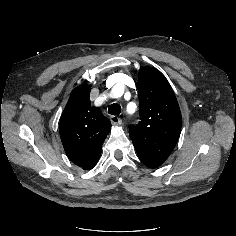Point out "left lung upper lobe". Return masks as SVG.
I'll return each instance as SVG.
<instances>
[{
    "label": "left lung upper lobe",
    "mask_w": 236,
    "mask_h": 236,
    "mask_svg": "<svg viewBox=\"0 0 236 236\" xmlns=\"http://www.w3.org/2000/svg\"><path fill=\"white\" fill-rule=\"evenodd\" d=\"M140 122L130 127V137L139 156L164 162L174 149L182 117L175 94L156 68L139 71Z\"/></svg>",
    "instance_id": "left-lung-upper-lobe-1"
}]
</instances>
